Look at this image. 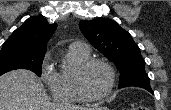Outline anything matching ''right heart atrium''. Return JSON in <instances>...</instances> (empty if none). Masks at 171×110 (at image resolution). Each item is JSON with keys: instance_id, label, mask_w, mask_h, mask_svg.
Wrapping results in <instances>:
<instances>
[{"instance_id": "d8ad5b80", "label": "right heart atrium", "mask_w": 171, "mask_h": 110, "mask_svg": "<svg viewBox=\"0 0 171 110\" xmlns=\"http://www.w3.org/2000/svg\"><path fill=\"white\" fill-rule=\"evenodd\" d=\"M54 76L55 72L50 66V56L49 54H46L42 62L41 78L46 84H49Z\"/></svg>"}]
</instances>
